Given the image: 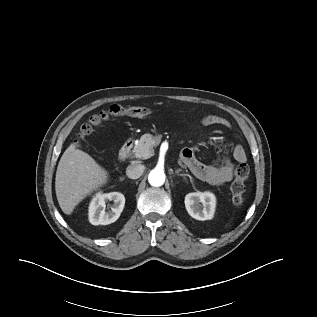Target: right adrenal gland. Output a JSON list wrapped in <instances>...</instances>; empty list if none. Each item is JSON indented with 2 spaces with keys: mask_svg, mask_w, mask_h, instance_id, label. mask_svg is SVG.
Listing matches in <instances>:
<instances>
[{
  "mask_svg": "<svg viewBox=\"0 0 317 317\" xmlns=\"http://www.w3.org/2000/svg\"><path fill=\"white\" fill-rule=\"evenodd\" d=\"M124 179H125L124 177H121V178H120L121 181H123Z\"/></svg>",
  "mask_w": 317,
  "mask_h": 317,
  "instance_id": "1",
  "label": "right adrenal gland"
}]
</instances>
